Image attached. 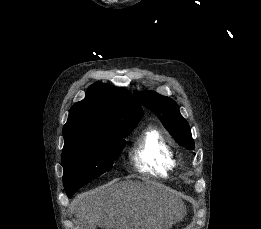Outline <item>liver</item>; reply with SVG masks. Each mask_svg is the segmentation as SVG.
Returning <instances> with one entry per match:
<instances>
[{
	"instance_id": "1",
	"label": "liver",
	"mask_w": 261,
	"mask_h": 229,
	"mask_svg": "<svg viewBox=\"0 0 261 229\" xmlns=\"http://www.w3.org/2000/svg\"><path fill=\"white\" fill-rule=\"evenodd\" d=\"M116 195L105 197L104 193H83L74 199L72 205L77 211L82 229H94L98 223L115 229H139V227H160L157 217L162 211L153 201L157 195L148 197L149 187L142 183H119ZM157 193L156 189H154ZM121 193V197H119ZM90 225V227H87Z\"/></svg>"
}]
</instances>
